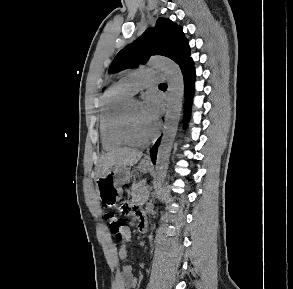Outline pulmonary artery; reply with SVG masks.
<instances>
[{
    "label": "pulmonary artery",
    "mask_w": 293,
    "mask_h": 289,
    "mask_svg": "<svg viewBox=\"0 0 293 289\" xmlns=\"http://www.w3.org/2000/svg\"><path fill=\"white\" fill-rule=\"evenodd\" d=\"M163 80V74L152 69H140L124 76L119 83L131 94Z\"/></svg>",
    "instance_id": "pulmonary-artery-1"
}]
</instances>
